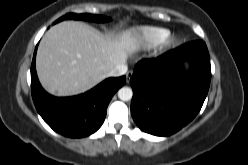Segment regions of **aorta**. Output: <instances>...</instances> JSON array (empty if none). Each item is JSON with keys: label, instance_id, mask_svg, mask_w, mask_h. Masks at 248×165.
<instances>
[{"label": "aorta", "instance_id": "762f6f07", "mask_svg": "<svg viewBox=\"0 0 248 165\" xmlns=\"http://www.w3.org/2000/svg\"><path fill=\"white\" fill-rule=\"evenodd\" d=\"M133 95L132 89L129 87H122L118 91V97L122 101H129L131 100Z\"/></svg>", "mask_w": 248, "mask_h": 165}]
</instances>
